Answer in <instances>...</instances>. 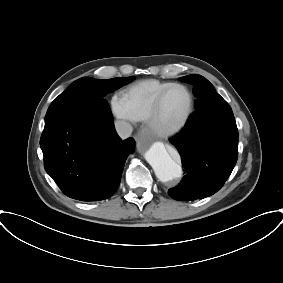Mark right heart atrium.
<instances>
[{"mask_svg":"<svg viewBox=\"0 0 283 283\" xmlns=\"http://www.w3.org/2000/svg\"><path fill=\"white\" fill-rule=\"evenodd\" d=\"M112 112L116 118L126 123L128 126L134 124L135 120L131 116L124 100L120 96H114L111 101Z\"/></svg>","mask_w":283,"mask_h":283,"instance_id":"right-heart-atrium-1","label":"right heart atrium"}]
</instances>
